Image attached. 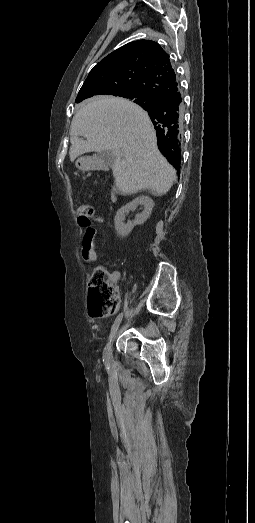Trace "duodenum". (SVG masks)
Here are the masks:
<instances>
[{
    "instance_id": "1",
    "label": "duodenum",
    "mask_w": 255,
    "mask_h": 523,
    "mask_svg": "<svg viewBox=\"0 0 255 523\" xmlns=\"http://www.w3.org/2000/svg\"><path fill=\"white\" fill-rule=\"evenodd\" d=\"M83 169L89 171L103 170L107 168V163L98 156H89L82 161Z\"/></svg>"
}]
</instances>
